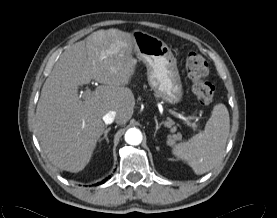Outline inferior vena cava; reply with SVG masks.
<instances>
[{
  "instance_id": "obj_1",
  "label": "inferior vena cava",
  "mask_w": 277,
  "mask_h": 218,
  "mask_svg": "<svg viewBox=\"0 0 277 218\" xmlns=\"http://www.w3.org/2000/svg\"><path fill=\"white\" fill-rule=\"evenodd\" d=\"M116 117V112L115 111H109L103 116V121L105 124H111Z\"/></svg>"
}]
</instances>
